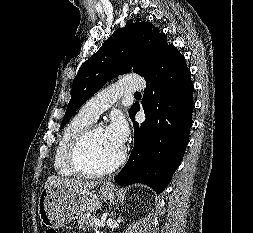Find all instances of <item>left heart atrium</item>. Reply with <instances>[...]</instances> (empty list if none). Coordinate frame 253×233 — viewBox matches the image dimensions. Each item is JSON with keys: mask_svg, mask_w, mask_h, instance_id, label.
<instances>
[{"mask_svg": "<svg viewBox=\"0 0 253 233\" xmlns=\"http://www.w3.org/2000/svg\"><path fill=\"white\" fill-rule=\"evenodd\" d=\"M108 138L118 147H123L129 134L127 122L122 116H114L106 127Z\"/></svg>", "mask_w": 253, "mask_h": 233, "instance_id": "39dd6f15", "label": "left heart atrium"}]
</instances>
